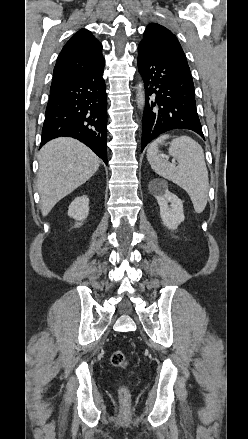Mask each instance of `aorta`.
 <instances>
[{
  "label": "aorta",
  "mask_w": 248,
  "mask_h": 439,
  "mask_svg": "<svg viewBox=\"0 0 248 439\" xmlns=\"http://www.w3.org/2000/svg\"><path fill=\"white\" fill-rule=\"evenodd\" d=\"M137 105L139 109H143L145 105V91L142 82L137 85Z\"/></svg>",
  "instance_id": "1"
}]
</instances>
